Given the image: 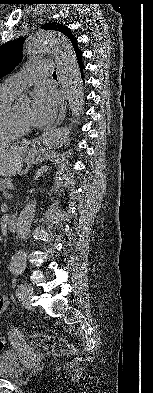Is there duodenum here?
<instances>
[{"mask_svg":"<svg viewBox=\"0 0 153 393\" xmlns=\"http://www.w3.org/2000/svg\"><path fill=\"white\" fill-rule=\"evenodd\" d=\"M8 230L11 232H15L18 229V222H17V218L14 217L12 218L8 224H7Z\"/></svg>","mask_w":153,"mask_h":393,"instance_id":"obj_1","label":"duodenum"}]
</instances>
